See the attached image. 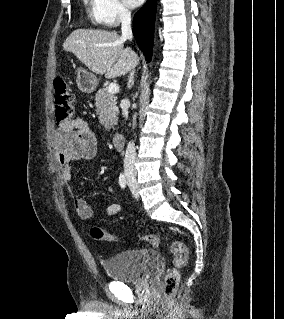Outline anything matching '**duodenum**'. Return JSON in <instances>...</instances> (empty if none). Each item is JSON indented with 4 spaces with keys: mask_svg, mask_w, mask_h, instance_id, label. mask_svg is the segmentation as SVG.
Returning a JSON list of instances; mask_svg holds the SVG:
<instances>
[{
    "mask_svg": "<svg viewBox=\"0 0 284 319\" xmlns=\"http://www.w3.org/2000/svg\"><path fill=\"white\" fill-rule=\"evenodd\" d=\"M125 137L121 133H115L113 135V144L116 149H122L124 146Z\"/></svg>",
    "mask_w": 284,
    "mask_h": 319,
    "instance_id": "1",
    "label": "duodenum"
}]
</instances>
